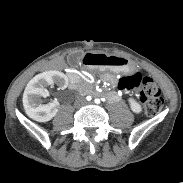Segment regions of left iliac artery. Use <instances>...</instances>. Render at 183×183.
<instances>
[{"label": "left iliac artery", "mask_w": 183, "mask_h": 183, "mask_svg": "<svg viewBox=\"0 0 183 183\" xmlns=\"http://www.w3.org/2000/svg\"><path fill=\"white\" fill-rule=\"evenodd\" d=\"M95 103L99 104L100 103V99H95Z\"/></svg>", "instance_id": "obj_1"}]
</instances>
